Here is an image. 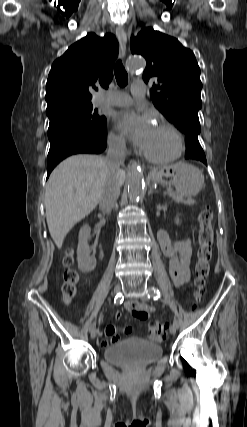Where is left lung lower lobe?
<instances>
[{"instance_id": "left-lung-lower-lobe-1", "label": "left lung lower lobe", "mask_w": 247, "mask_h": 427, "mask_svg": "<svg viewBox=\"0 0 247 427\" xmlns=\"http://www.w3.org/2000/svg\"><path fill=\"white\" fill-rule=\"evenodd\" d=\"M185 136L187 139L185 158L201 161L207 165L206 157L198 141V137L190 134H185Z\"/></svg>"}]
</instances>
